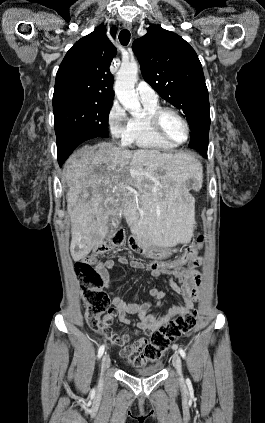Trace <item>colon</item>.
Instances as JSON below:
<instances>
[{
  "label": "colon",
  "instance_id": "1",
  "mask_svg": "<svg viewBox=\"0 0 265 423\" xmlns=\"http://www.w3.org/2000/svg\"><path fill=\"white\" fill-rule=\"evenodd\" d=\"M126 235L123 229L117 230L110 239L96 246L85 258L77 261L74 265V272L81 285L82 296L87 304L86 320L90 328L99 330L106 336L113 335L111 323L113 311L110 308L109 296L102 290L103 280L94 264L98 258L107 255L113 249L124 244ZM204 236L200 235L195 244H191L185 253L173 261L153 260L150 269L153 271L166 269L175 270L192 262L201 248ZM197 315L190 311L177 316L167 324L155 330L149 342L142 345V353L145 362H156L169 348L172 341L180 336L189 334L195 327ZM137 366L143 363H137Z\"/></svg>",
  "mask_w": 265,
  "mask_h": 423
}]
</instances>
